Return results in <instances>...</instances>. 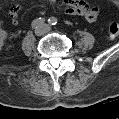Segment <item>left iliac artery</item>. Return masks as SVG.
<instances>
[{
  "label": "left iliac artery",
  "instance_id": "44dca946",
  "mask_svg": "<svg viewBox=\"0 0 119 119\" xmlns=\"http://www.w3.org/2000/svg\"><path fill=\"white\" fill-rule=\"evenodd\" d=\"M48 23L50 25H55V24H57V19L55 17H51L48 19Z\"/></svg>",
  "mask_w": 119,
  "mask_h": 119
}]
</instances>
